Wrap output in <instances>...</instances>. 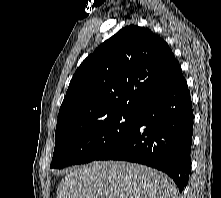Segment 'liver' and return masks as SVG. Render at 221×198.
Listing matches in <instances>:
<instances>
[{
    "label": "liver",
    "mask_w": 221,
    "mask_h": 198,
    "mask_svg": "<svg viewBox=\"0 0 221 198\" xmlns=\"http://www.w3.org/2000/svg\"><path fill=\"white\" fill-rule=\"evenodd\" d=\"M165 174L121 161H94L71 170L59 183L57 198H176Z\"/></svg>",
    "instance_id": "6515ba94"
}]
</instances>
